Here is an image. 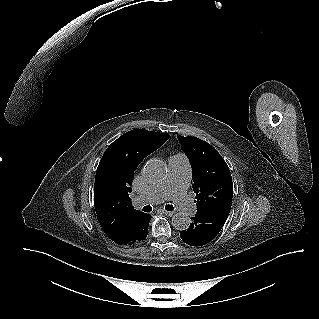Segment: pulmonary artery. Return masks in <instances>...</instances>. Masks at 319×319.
Masks as SVG:
<instances>
[{
	"instance_id": "pulmonary-artery-1",
	"label": "pulmonary artery",
	"mask_w": 319,
	"mask_h": 319,
	"mask_svg": "<svg viewBox=\"0 0 319 319\" xmlns=\"http://www.w3.org/2000/svg\"><path fill=\"white\" fill-rule=\"evenodd\" d=\"M169 175L158 185L147 187L135 197V204H157L172 199L180 210L190 215L195 206L189 200L186 191L190 181V166L184 155H174L168 159Z\"/></svg>"
}]
</instances>
